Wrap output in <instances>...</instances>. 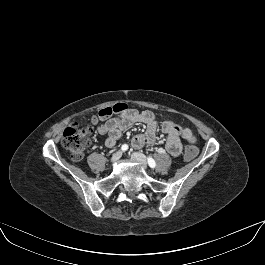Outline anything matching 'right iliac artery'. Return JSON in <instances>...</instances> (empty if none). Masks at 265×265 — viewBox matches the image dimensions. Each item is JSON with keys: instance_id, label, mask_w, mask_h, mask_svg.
Returning a JSON list of instances; mask_svg holds the SVG:
<instances>
[{"instance_id": "right-iliac-artery-1", "label": "right iliac artery", "mask_w": 265, "mask_h": 265, "mask_svg": "<svg viewBox=\"0 0 265 265\" xmlns=\"http://www.w3.org/2000/svg\"><path fill=\"white\" fill-rule=\"evenodd\" d=\"M121 150L123 152L127 151L128 150V145L127 144L122 145Z\"/></svg>"}]
</instances>
